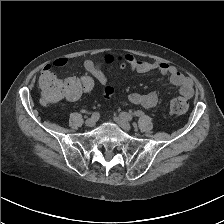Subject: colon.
<instances>
[{
  "instance_id": "1",
  "label": "colon",
  "mask_w": 224,
  "mask_h": 224,
  "mask_svg": "<svg viewBox=\"0 0 224 224\" xmlns=\"http://www.w3.org/2000/svg\"><path fill=\"white\" fill-rule=\"evenodd\" d=\"M92 86L93 82L88 78L69 79L60 82L55 77H52L40 83L43 97L48 102H56L62 98L77 99L83 93L91 90ZM112 93L113 85L108 84L105 88V97L109 98ZM188 107V100L183 96H176L169 102L170 111L177 115L184 114Z\"/></svg>"
}]
</instances>
